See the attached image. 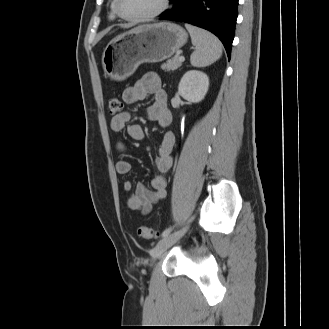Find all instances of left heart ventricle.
<instances>
[{
    "mask_svg": "<svg viewBox=\"0 0 329 329\" xmlns=\"http://www.w3.org/2000/svg\"><path fill=\"white\" fill-rule=\"evenodd\" d=\"M162 0H120V10L126 16H142L156 11Z\"/></svg>",
    "mask_w": 329,
    "mask_h": 329,
    "instance_id": "1",
    "label": "left heart ventricle"
}]
</instances>
